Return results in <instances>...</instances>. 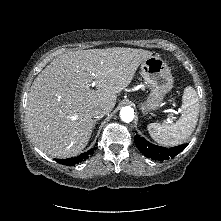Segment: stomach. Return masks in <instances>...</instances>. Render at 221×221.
Listing matches in <instances>:
<instances>
[{
	"instance_id": "1",
	"label": "stomach",
	"mask_w": 221,
	"mask_h": 221,
	"mask_svg": "<svg viewBox=\"0 0 221 221\" xmlns=\"http://www.w3.org/2000/svg\"><path fill=\"white\" fill-rule=\"evenodd\" d=\"M140 71L145 83L151 89L145 103L141 105L143 113L146 114L161 106L164 96L173 87V77L166 61L158 56L144 60Z\"/></svg>"
}]
</instances>
